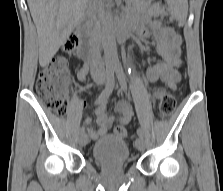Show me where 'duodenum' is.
I'll return each mask as SVG.
<instances>
[{
	"instance_id": "duodenum-1",
	"label": "duodenum",
	"mask_w": 223,
	"mask_h": 191,
	"mask_svg": "<svg viewBox=\"0 0 223 191\" xmlns=\"http://www.w3.org/2000/svg\"><path fill=\"white\" fill-rule=\"evenodd\" d=\"M115 28H116V35L119 42H123L129 34L128 29L121 23H118ZM86 33L89 37L92 38V33L90 30H88ZM93 50H94V47L92 45H84L82 50L80 51V56L84 59L89 60L92 57Z\"/></svg>"
}]
</instances>
